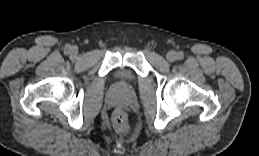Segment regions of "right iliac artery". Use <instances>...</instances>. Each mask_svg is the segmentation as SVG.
Listing matches in <instances>:
<instances>
[{
  "label": "right iliac artery",
  "instance_id": "1",
  "mask_svg": "<svg viewBox=\"0 0 259 156\" xmlns=\"http://www.w3.org/2000/svg\"><path fill=\"white\" fill-rule=\"evenodd\" d=\"M69 51H70V46H67L66 50H65V53H69Z\"/></svg>",
  "mask_w": 259,
  "mask_h": 156
}]
</instances>
